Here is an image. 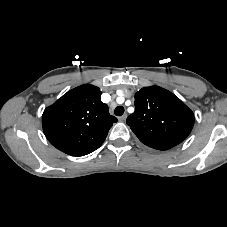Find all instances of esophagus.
Returning <instances> with one entry per match:
<instances>
[{
	"instance_id": "34e87169",
	"label": "esophagus",
	"mask_w": 227,
	"mask_h": 227,
	"mask_svg": "<svg viewBox=\"0 0 227 227\" xmlns=\"http://www.w3.org/2000/svg\"><path fill=\"white\" fill-rule=\"evenodd\" d=\"M127 115L123 114L122 116L119 117V121L123 122L126 120Z\"/></svg>"
}]
</instances>
